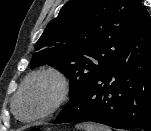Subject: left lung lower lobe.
Here are the masks:
<instances>
[{"mask_svg":"<svg viewBox=\"0 0 151 131\" xmlns=\"http://www.w3.org/2000/svg\"><path fill=\"white\" fill-rule=\"evenodd\" d=\"M82 121L151 131V18L143 5L124 56L87 82L52 123Z\"/></svg>","mask_w":151,"mask_h":131,"instance_id":"1","label":"left lung lower lobe"}]
</instances>
